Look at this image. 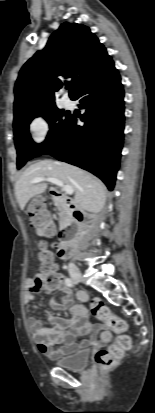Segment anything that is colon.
I'll use <instances>...</instances> for the list:
<instances>
[{"mask_svg": "<svg viewBox=\"0 0 155 413\" xmlns=\"http://www.w3.org/2000/svg\"><path fill=\"white\" fill-rule=\"evenodd\" d=\"M34 201L27 209V216L31 226L41 235L52 231V220L48 213L44 192H35ZM39 259L41 261V274L49 287L58 283V274L55 269L53 255L45 243L39 244ZM93 315L105 323L106 327L119 334L115 341L105 349L99 350L95 355V362L101 368H110L118 363L125 351L131 347V338L125 334L128 327L126 322L113 314L109 307L99 299L91 301Z\"/></svg>", "mask_w": 155, "mask_h": 413, "instance_id": "obj_1", "label": "colon"}]
</instances>
